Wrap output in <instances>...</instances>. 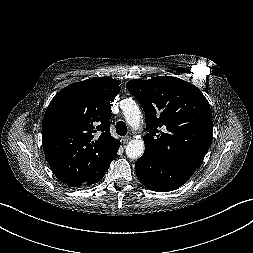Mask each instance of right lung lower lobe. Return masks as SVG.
Returning <instances> with one entry per match:
<instances>
[{
	"mask_svg": "<svg viewBox=\"0 0 253 253\" xmlns=\"http://www.w3.org/2000/svg\"><path fill=\"white\" fill-rule=\"evenodd\" d=\"M105 172H102V173L98 174L97 176H95V177H93V178H91V179H89V180H87L85 182L74 181V182H68L66 184L69 185L70 187H80L82 185L85 186V185L95 184V183H97L98 181H100L103 178Z\"/></svg>",
	"mask_w": 253,
	"mask_h": 253,
	"instance_id": "1",
	"label": "right lung lower lobe"
}]
</instances>
